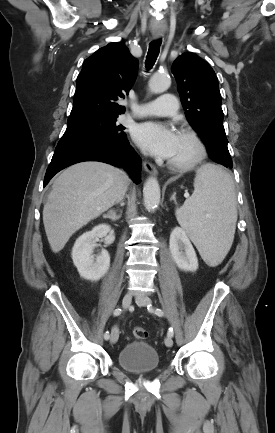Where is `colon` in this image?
Wrapping results in <instances>:
<instances>
[{"instance_id":"1","label":"colon","mask_w":275,"mask_h":433,"mask_svg":"<svg viewBox=\"0 0 275 433\" xmlns=\"http://www.w3.org/2000/svg\"><path fill=\"white\" fill-rule=\"evenodd\" d=\"M133 335L140 340L146 339L148 337V332L143 327L137 326L133 329Z\"/></svg>"}]
</instances>
